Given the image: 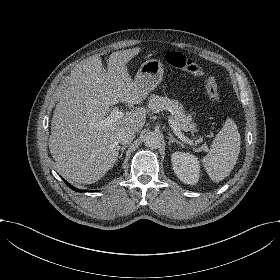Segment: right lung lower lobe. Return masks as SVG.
Listing matches in <instances>:
<instances>
[{
  "label": "right lung lower lobe",
  "mask_w": 280,
  "mask_h": 280,
  "mask_svg": "<svg viewBox=\"0 0 280 280\" xmlns=\"http://www.w3.org/2000/svg\"><path fill=\"white\" fill-rule=\"evenodd\" d=\"M64 180V179H63ZM64 182L67 184V186H69L71 189H73L74 191H77V192H86V191H84V190H79V189H77V188H75V187H73V186H71L68 182H66L65 180H64Z\"/></svg>",
  "instance_id": "1"
}]
</instances>
